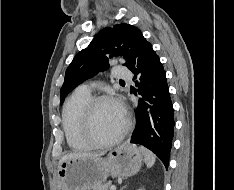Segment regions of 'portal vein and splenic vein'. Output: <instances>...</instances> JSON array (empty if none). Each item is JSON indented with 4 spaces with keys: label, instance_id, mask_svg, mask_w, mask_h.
I'll return each instance as SVG.
<instances>
[{
    "label": "portal vein and splenic vein",
    "instance_id": "18ae733b",
    "mask_svg": "<svg viewBox=\"0 0 234 190\" xmlns=\"http://www.w3.org/2000/svg\"><path fill=\"white\" fill-rule=\"evenodd\" d=\"M110 190H116V186H115V185H112V186L110 187Z\"/></svg>",
    "mask_w": 234,
    "mask_h": 190
}]
</instances>
